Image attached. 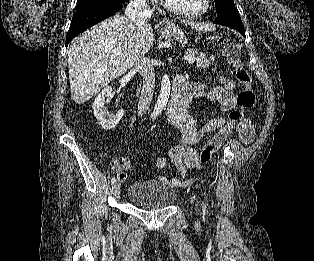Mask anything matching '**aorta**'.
<instances>
[{
  "label": "aorta",
  "instance_id": "1",
  "mask_svg": "<svg viewBox=\"0 0 314 261\" xmlns=\"http://www.w3.org/2000/svg\"><path fill=\"white\" fill-rule=\"evenodd\" d=\"M170 89V79L169 76L165 74L161 81L160 95L158 96L157 102L154 106L152 116H158L166 107L170 95Z\"/></svg>",
  "mask_w": 314,
  "mask_h": 261
}]
</instances>
